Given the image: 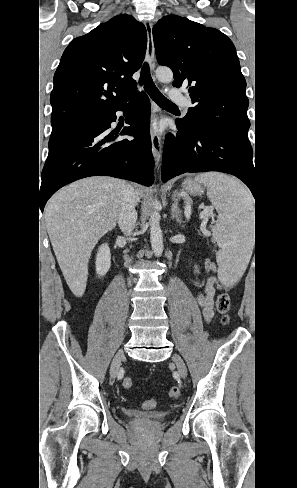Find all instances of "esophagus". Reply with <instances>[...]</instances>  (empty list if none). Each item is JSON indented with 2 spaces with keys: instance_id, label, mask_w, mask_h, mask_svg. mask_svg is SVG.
Wrapping results in <instances>:
<instances>
[{
  "instance_id": "1",
  "label": "esophagus",
  "mask_w": 297,
  "mask_h": 488,
  "mask_svg": "<svg viewBox=\"0 0 297 488\" xmlns=\"http://www.w3.org/2000/svg\"><path fill=\"white\" fill-rule=\"evenodd\" d=\"M147 30V62L150 68H154V57H155V49H154V41H153V34H152V24H146ZM157 108L153 105L152 107V118H151V143H152V153L155 159L156 165L159 164L161 156H162V144L161 138L158 132L156 131V124H157Z\"/></svg>"
}]
</instances>
